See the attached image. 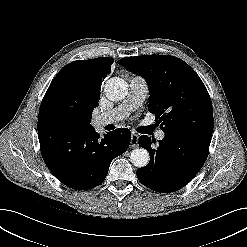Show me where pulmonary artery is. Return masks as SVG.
Returning a JSON list of instances; mask_svg holds the SVG:
<instances>
[{
    "label": "pulmonary artery",
    "mask_w": 247,
    "mask_h": 247,
    "mask_svg": "<svg viewBox=\"0 0 247 247\" xmlns=\"http://www.w3.org/2000/svg\"><path fill=\"white\" fill-rule=\"evenodd\" d=\"M147 94V82L143 77L135 76L129 82V92L126 99L114 109L100 114L94 118V125L101 128L108 124L126 118L132 111L136 110L144 101ZM156 138L162 140L165 137L163 131L156 132Z\"/></svg>",
    "instance_id": "1"
}]
</instances>
